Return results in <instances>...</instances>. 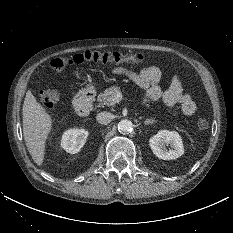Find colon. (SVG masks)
<instances>
[{
    "label": "colon",
    "instance_id": "colon-1",
    "mask_svg": "<svg viewBox=\"0 0 233 233\" xmlns=\"http://www.w3.org/2000/svg\"><path fill=\"white\" fill-rule=\"evenodd\" d=\"M144 60L142 53L122 54L119 52H100L97 50H87L74 54L69 57H59L51 61V67L56 70H62L73 64H82L84 62L95 63H139ZM59 100V93L54 88L45 89L40 94V102L43 107L53 108ZM209 123L205 118L197 120V127L201 131L208 129Z\"/></svg>",
    "mask_w": 233,
    "mask_h": 233
}]
</instances>
